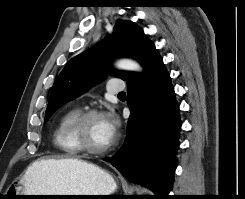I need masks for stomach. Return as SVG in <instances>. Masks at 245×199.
<instances>
[{"mask_svg":"<svg viewBox=\"0 0 245 199\" xmlns=\"http://www.w3.org/2000/svg\"><path fill=\"white\" fill-rule=\"evenodd\" d=\"M117 185L114 178L98 166L79 162L69 164L66 168L46 174L42 179H21L13 184L14 195H110L116 190ZM20 198L27 196H19ZM87 197H55L46 196L38 199H71Z\"/></svg>","mask_w":245,"mask_h":199,"instance_id":"obj_1","label":"stomach"}]
</instances>
